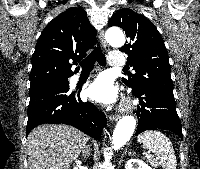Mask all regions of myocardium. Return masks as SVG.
<instances>
[{
  "instance_id": "f54148a6",
  "label": "myocardium",
  "mask_w": 200,
  "mask_h": 169,
  "mask_svg": "<svg viewBox=\"0 0 200 169\" xmlns=\"http://www.w3.org/2000/svg\"><path fill=\"white\" fill-rule=\"evenodd\" d=\"M132 108V102L130 100H127L123 105L124 111H129Z\"/></svg>"
}]
</instances>
